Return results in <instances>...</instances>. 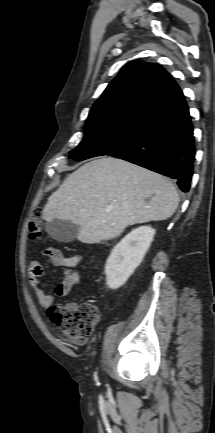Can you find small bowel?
<instances>
[{
  "instance_id": "1",
  "label": "small bowel",
  "mask_w": 215,
  "mask_h": 433,
  "mask_svg": "<svg viewBox=\"0 0 215 433\" xmlns=\"http://www.w3.org/2000/svg\"><path fill=\"white\" fill-rule=\"evenodd\" d=\"M44 254L50 265L61 269L63 272V280L56 285L54 289L55 294L59 297L67 296L80 283L81 273L78 265L82 261L83 256L81 254L64 256L60 250L53 247L46 248ZM43 268L44 265L41 261L32 260L28 266V278L39 304L43 308H48L53 304L54 298L42 288L40 277Z\"/></svg>"
}]
</instances>
